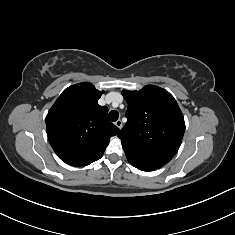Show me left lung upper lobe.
Returning a JSON list of instances; mask_svg holds the SVG:
<instances>
[{
  "instance_id": "obj_1",
  "label": "left lung upper lobe",
  "mask_w": 235,
  "mask_h": 235,
  "mask_svg": "<svg viewBox=\"0 0 235 235\" xmlns=\"http://www.w3.org/2000/svg\"><path fill=\"white\" fill-rule=\"evenodd\" d=\"M128 103L127 123L120 130L128 161L154 169L177 153L185 131L183 114L166 90L147 85L139 91H123Z\"/></svg>"
}]
</instances>
